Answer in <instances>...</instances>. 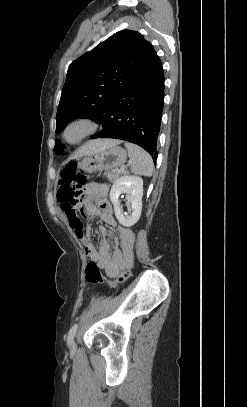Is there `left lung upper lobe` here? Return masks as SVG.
I'll return each mask as SVG.
<instances>
[{
    "instance_id": "1",
    "label": "left lung upper lobe",
    "mask_w": 247,
    "mask_h": 407,
    "mask_svg": "<svg viewBox=\"0 0 247 407\" xmlns=\"http://www.w3.org/2000/svg\"><path fill=\"white\" fill-rule=\"evenodd\" d=\"M155 53L142 34L122 30L72 62L57 110L56 133L76 118L102 124L116 96ZM62 149L56 141L55 152L64 154Z\"/></svg>"
}]
</instances>
